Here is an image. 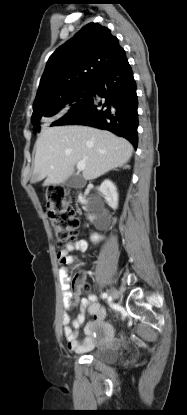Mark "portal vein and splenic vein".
Instances as JSON below:
<instances>
[{
  "label": "portal vein and splenic vein",
  "mask_w": 187,
  "mask_h": 415,
  "mask_svg": "<svg viewBox=\"0 0 187 415\" xmlns=\"http://www.w3.org/2000/svg\"><path fill=\"white\" fill-rule=\"evenodd\" d=\"M85 166H86V164H85V162H84V161H80V162H78V163H77V169H78L79 171L84 170V169H85Z\"/></svg>",
  "instance_id": "18ae733b"
}]
</instances>
